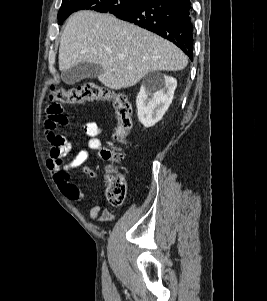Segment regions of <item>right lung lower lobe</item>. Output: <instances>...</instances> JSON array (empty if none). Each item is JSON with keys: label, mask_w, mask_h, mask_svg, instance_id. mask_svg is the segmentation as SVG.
<instances>
[{"label": "right lung lower lobe", "mask_w": 267, "mask_h": 301, "mask_svg": "<svg viewBox=\"0 0 267 301\" xmlns=\"http://www.w3.org/2000/svg\"><path fill=\"white\" fill-rule=\"evenodd\" d=\"M115 16L173 42L192 60L193 24L190 0H143Z\"/></svg>", "instance_id": "1"}]
</instances>
